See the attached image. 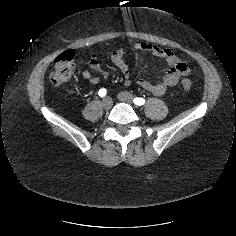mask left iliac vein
Returning a JSON list of instances; mask_svg holds the SVG:
<instances>
[{
	"mask_svg": "<svg viewBox=\"0 0 236 236\" xmlns=\"http://www.w3.org/2000/svg\"><path fill=\"white\" fill-rule=\"evenodd\" d=\"M118 98H119L120 101L126 102L128 104L133 103V96L129 92H120L118 94Z\"/></svg>",
	"mask_w": 236,
	"mask_h": 236,
	"instance_id": "1",
	"label": "left iliac vein"
}]
</instances>
